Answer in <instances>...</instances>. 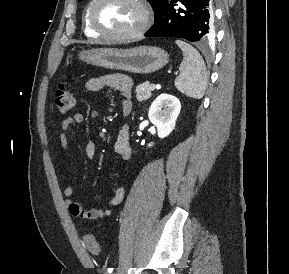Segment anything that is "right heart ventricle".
Returning a JSON list of instances; mask_svg holds the SVG:
<instances>
[{"instance_id":"e07e8e85","label":"right heart ventricle","mask_w":289,"mask_h":274,"mask_svg":"<svg viewBox=\"0 0 289 274\" xmlns=\"http://www.w3.org/2000/svg\"><path fill=\"white\" fill-rule=\"evenodd\" d=\"M89 5H87V7L85 8L84 14H83V20H82L83 30H84V32H85V34L87 36L96 38L99 35L90 27L89 22H88V8H89Z\"/></svg>"}]
</instances>
